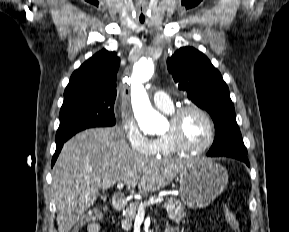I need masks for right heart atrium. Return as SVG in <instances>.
Here are the masks:
<instances>
[{"mask_svg":"<svg viewBox=\"0 0 289 232\" xmlns=\"http://www.w3.org/2000/svg\"><path fill=\"white\" fill-rule=\"evenodd\" d=\"M121 128L130 148L139 155L152 156L155 141L146 136L139 128L135 119L128 115H123Z\"/></svg>","mask_w":289,"mask_h":232,"instance_id":"obj_1","label":"right heart atrium"}]
</instances>
